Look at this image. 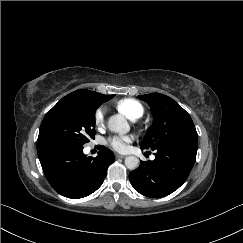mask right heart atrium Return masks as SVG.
Segmentation results:
<instances>
[{"label": "right heart atrium", "mask_w": 243, "mask_h": 243, "mask_svg": "<svg viewBox=\"0 0 243 243\" xmlns=\"http://www.w3.org/2000/svg\"><path fill=\"white\" fill-rule=\"evenodd\" d=\"M94 124L97 128H101L105 124V111L99 107L94 112Z\"/></svg>", "instance_id": "obj_1"}]
</instances>
